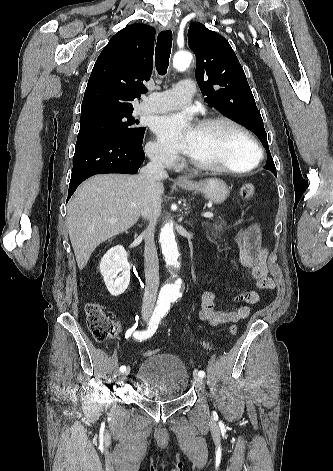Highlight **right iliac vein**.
<instances>
[{
	"label": "right iliac vein",
	"instance_id": "right-iliac-vein-1",
	"mask_svg": "<svg viewBox=\"0 0 333 471\" xmlns=\"http://www.w3.org/2000/svg\"><path fill=\"white\" fill-rule=\"evenodd\" d=\"M148 316L144 317L145 321H148ZM130 374V368L127 367L126 370L122 373V379L125 380L127 376Z\"/></svg>",
	"mask_w": 333,
	"mask_h": 471
}]
</instances>
